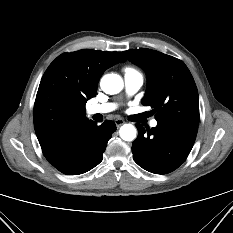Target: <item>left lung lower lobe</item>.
<instances>
[{
    "instance_id": "0a47b994",
    "label": "left lung lower lobe",
    "mask_w": 233,
    "mask_h": 233,
    "mask_svg": "<svg viewBox=\"0 0 233 233\" xmlns=\"http://www.w3.org/2000/svg\"><path fill=\"white\" fill-rule=\"evenodd\" d=\"M138 136L132 144L134 161L143 169L166 174L178 168L188 157L197 135V126L161 124L144 129L136 124Z\"/></svg>"
}]
</instances>
